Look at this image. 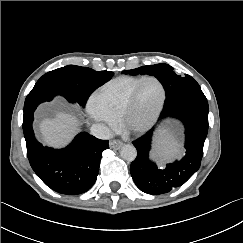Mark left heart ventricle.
I'll return each instance as SVG.
<instances>
[{"label":"left heart ventricle","instance_id":"left-heart-ventricle-1","mask_svg":"<svg viewBox=\"0 0 243 243\" xmlns=\"http://www.w3.org/2000/svg\"><path fill=\"white\" fill-rule=\"evenodd\" d=\"M161 98V89L154 81L146 82L135 101L130 113V122L134 125L140 124L157 107Z\"/></svg>","mask_w":243,"mask_h":243}]
</instances>
